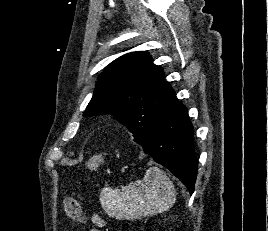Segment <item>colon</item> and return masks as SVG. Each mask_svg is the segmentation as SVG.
<instances>
[{
  "mask_svg": "<svg viewBox=\"0 0 268 231\" xmlns=\"http://www.w3.org/2000/svg\"><path fill=\"white\" fill-rule=\"evenodd\" d=\"M63 206L66 216L70 218L74 224H78L83 221L81 205L76 199L73 197H65Z\"/></svg>",
  "mask_w": 268,
  "mask_h": 231,
  "instance_id": "colon-1",
  "label": "colon"
}]
</instances>
